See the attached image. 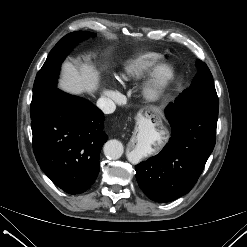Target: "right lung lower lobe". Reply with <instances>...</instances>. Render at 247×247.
<instances>
[{
	"instance_id": "1",
	"label": "right lung lower lobe",
	"mask_w": 247,
	"mask_h": 247,
	"mask_svg": "<svg viewBox=\"0 0 247 247\" xmlns=\"http://www.w3.org/2000/svg\"><path fill=\"white\" fill-rule=\"evenodd\" d=\"M104 120L91 102L59 89L32 119L37 162L63 191L80 194L96 180L100 150L108 139Z\"/></svg>"
}]
</instances>
